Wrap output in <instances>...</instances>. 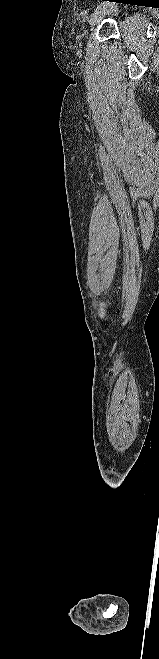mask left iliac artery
<instances>
[{
  "label": "left iliac artery",
  "instance_id": "left-iliac-artery-1",
  "mask_svg": "<svg viewBox=\"0 0 159 659\" xmlns=\"http://www.w3.org/2000/svg\"><path fill=\"white\" fill-rule=\"evenodd\" d=\"M104 5H105V3H100V4L96 7L95 11L98 10V9H100V8L103 7Z\"/></svg>",
  "mask_w": 159,
  "mask_h": 659
}]
</instances>
